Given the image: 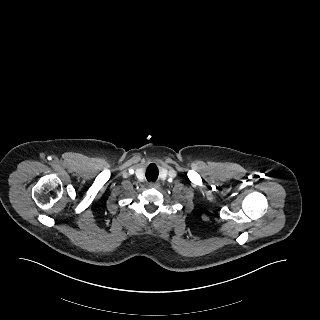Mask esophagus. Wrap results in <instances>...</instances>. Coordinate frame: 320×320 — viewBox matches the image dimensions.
<instances>
[{"label":"esophagus","instance_id":"esophagus-1","mask_svg":"<svg viewBox=\"0 0 320 320\" xmlns=\"http://www.w3.org/2000/svg\"><path fill=\"white\" fill-rule=\"evenodd\" d=\"M159 186V184L157 182H150L149 183V187L151 188H157Z\"/></svg>","mask_w":320,"mask_h":320}]
</instances>
